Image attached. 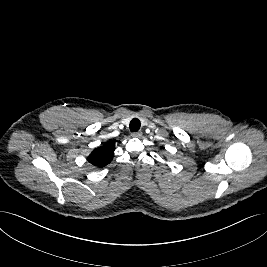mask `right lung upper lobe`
<instances>
[{"instance_id":"obj_1","label":"right lung upper lobe","mask_w":267,"mask_h":267,"mask_svg":"<svg viewBox=\"0 0 267 267\" xmlns=\"http://www.w3.org/2000/svg\"><path fill=\"white\" fill-rule=\"evenodd\" d=\"M114 143L107 142L105 145L95 148L88 156V162L96 167H104L109 164L114 156Z\"/></svg>"}]
</instances>
